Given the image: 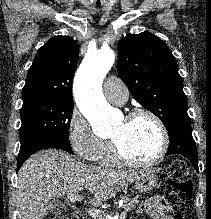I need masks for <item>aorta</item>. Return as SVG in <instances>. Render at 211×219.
<instances>
[{
    "mask_svg": "<svg viewBox=\"0 0 211 219\" xmlns=\"http://www.w3.org/2000/svg\"><path fill=\"white\" fill-rule=\"evenodd\" d=\"M114 60L115 54L108 47L88 52L74 80L73 89L77 106L91 123L93 132L100 137L110 136L118 119L102 92L103 79Z\"/></svg>",
    "mask_w": 211,
    "mask_h": 219,
    "instance_id": "obj_1",
    "label": "aorta"
}]
</instances>
